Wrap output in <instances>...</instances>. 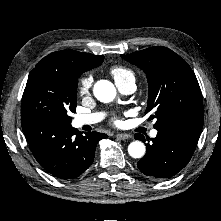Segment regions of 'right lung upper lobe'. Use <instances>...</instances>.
Returning a JSON list of instances; mask_svg holds the SVG:
<instances>
[{"instance_id": "1", "label": "right lung upper lobe", "mask_w": 221, "mask_h": 221, "mask_svg": "<svg viewBox=\"0 0 221 221\" xmlns=\"http://www.w3.org/2000/svg\"><path fill=\"white\" fill-rule=\"evenodd\" d=\"M103 59L104 57L101 55L62 50L44 57L31 72H56L77 80L83 72L101 65Z\"/></svg>"}]
</instances>
